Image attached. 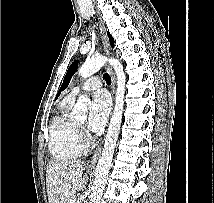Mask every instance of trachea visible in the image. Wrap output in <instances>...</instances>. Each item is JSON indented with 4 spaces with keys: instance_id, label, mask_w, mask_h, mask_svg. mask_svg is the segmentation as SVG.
Segmentation results:
<instances>
[{
    "instance_id": "obj_1",
    "label": "trachea",
    "mask_w": 214,
    "mask_h": 203,
    "mask_svg": "<svg viewBox=\"0 0 214 203\" xmlns=\"http://www.w3.org/2000/svg\"><path fill=\"white\" fill-rule=\"evenodd\" d=\"M104 79L108 85L111 84V77L107 73L104 74Z\"/></svg>"
}]
</instances>
